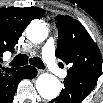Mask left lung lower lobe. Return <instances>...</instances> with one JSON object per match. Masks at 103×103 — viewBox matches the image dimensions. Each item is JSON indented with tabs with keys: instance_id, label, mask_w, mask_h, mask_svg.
I'll return each instance as SVG.
<instances>
[{
	"instance_id": "1",
	"label": "left lung lower lobe",
	"mask_w": 103,
	"mask_h": 103,
	"mask_svg": "<svg viewBox=\"0 0 103 103\" xmlns=\"http://www.w3.org/2000/svg\"><path fill=\"white\" fill-rule=\"evenodd\" d=\"M97 78L67 76L60 95L49 103H81L94 89Z\"/></svg>"
}]
</instances>
